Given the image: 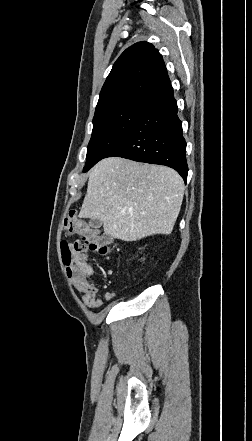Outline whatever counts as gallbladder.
I'll list each match as a JSON object with an SVG mask.
<instances>
[{"label":"gallbladder","instance_id":"gallbladder-1","mask_svg":"<svg viewBox=\"0 0 252 441\" xmlns=\"http://www.w3.org/2000/svg\"><path fill=\"white\" fill-rule=\"evenodd\" d=\"M89 226L92 228H100L102 226V222L99 219H91L89 221Z\"/></svg>","mask_w":252,"mask_h":441}]
</instances>
